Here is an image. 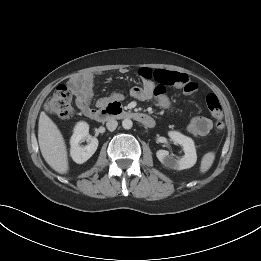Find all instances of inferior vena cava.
Returning a JSON list of instances; mask_svg holds the SVG:
<instances>
[{
	"instance_id": "1",
	"label": "inferior vena cava",
	"mask_w": 261,
	"mask_h": 261,
	"mask_svg": "<svg viewBox=\"0 0 261 261\" xmlns=\"http://www.w3.org/2000/svg\"><path fill=\"white\" fill-rule=\"evenodd\" d=\"M118 126V122L115 119H109L106 123V127L109 131H114Z\"/></svg>"
}]
</instances>
